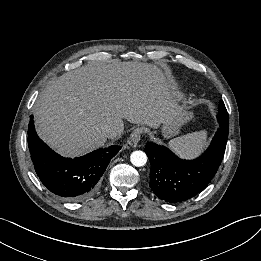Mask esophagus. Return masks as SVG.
<instances>
[{
	"instance_id": "34e87169",
	"label": "esophagus",
	"mask_w": 261,
	"mask_h": 261,
	"mask_svg": "<svg viewBox=\"0 0 261 261\" xmlns=\"http://www.w3.org/2000/svg\"><path fill=\"white\" fill-rule=\"evenodd\" d=\"M142 129L141 128H136L132 131L130 134V140L134 143L137 144L141 140V135H142Z\"/></svg>"
}]
</instances>
